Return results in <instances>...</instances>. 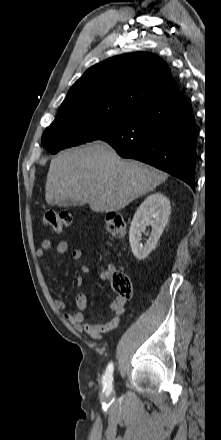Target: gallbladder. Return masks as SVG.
Returning a JSON list of instances; mask_svg holds the SVG:
<instances>
[{
    "label": "gallbladder",
    "mask_w": 221,
    "mask_h": 440,
    "mask_svg": "<svg viewBox=\"0 0 221 440\" xmlns=\"http://www.w3.org/2000/svg\"><path fill=\"white\" fill-rule=\"evenodd\" d=\"M84 204H85V202L77 201V200H73V199L62 200V201H59L57 203V205L59 207L81 206V205H84Z\"/></svg>",
    "instance_id": "1"
}]
</instances>
